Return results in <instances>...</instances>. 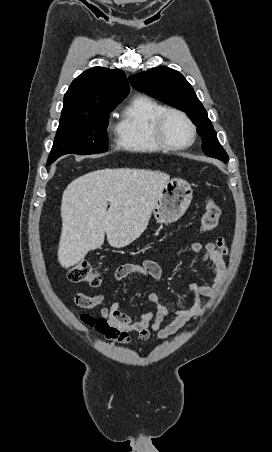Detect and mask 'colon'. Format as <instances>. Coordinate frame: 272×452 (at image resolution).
<instances>
[{
  "mask_svg": "<svg viewBox=\"0 0 272 452\" xmlns=\"http://www.w3.org/2000/svg\"><path fill=\"white\" fill-rule=\"evenodd\" d=\"M221 217V207L214 200L205 203L201 217V229L211 231L218 225ZM67 279L73 283H86L92 286L100 284V273L93 265L87 261H80L71 267L67 272Z\"/></svg>",
  "mask_w": 272,
  "mask_h": 452,
  "instance_id": "obj_1",
  "label": "colon"
}]
</instances>
